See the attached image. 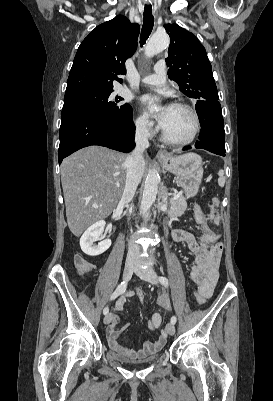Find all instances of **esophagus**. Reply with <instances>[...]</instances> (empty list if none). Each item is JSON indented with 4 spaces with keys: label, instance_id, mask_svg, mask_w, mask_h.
<instances>
[{
    "label": "esophagus",
    "instance_id": "esophagus-1",
    "mask_svg": "<svg viewBox=\"0 0 273 401\" xmlns=\"http://www.w3.org/2000/svg\"><path fill=\"white\" fill-rule=\"evenodd\" d=\"M156 158H158V159H166V158H169V156H168V153L165 150H159L157 155H156Z\"/></svg>",
    "mask_w": 273,
    "mask_h": 401
}]
</instances>
